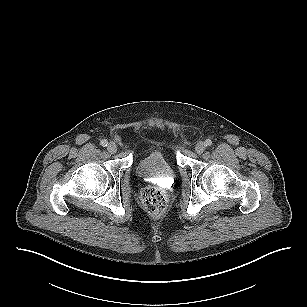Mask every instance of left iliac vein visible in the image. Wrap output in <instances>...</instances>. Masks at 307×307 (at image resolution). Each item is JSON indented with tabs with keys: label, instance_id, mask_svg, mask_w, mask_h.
Wrapping results in <instances>:
<instances>
[{
	"label": "left iliac vein",
	"instance_id": "1",
	"mask_svg": "<svg viewBox=\"0 0 307 307\" xmlns=\"http://www.w3.org/2000/svg\"><path fill=\"white\" fill-rule=\"evenodd\" d=\"M205 151V144L203 142H198L195 145V152L197 154H202Z\"/></svg>",
	"mask_w": 307,
	"mask_h": 307
}]
</instances>
